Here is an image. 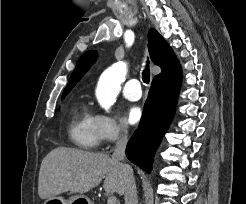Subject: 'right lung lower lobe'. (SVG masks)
<instances>
[{"label": "right lung lower lobe", "mask_w": 246, "mask_h": 204, "mask_svg": "<svg viewBox=\"0 0 246 204\" xmlns=\"http://www.w3.org/2000/svg\"><path fill=\"white\" fill-rule=\"evenodd\" d=\"M180 84V67L154 78L141 123L127 144V158L148 173L151 172L154 153L172 117Z\"/></svg>", "instance_id": "98d812e1"}]
</instances>
